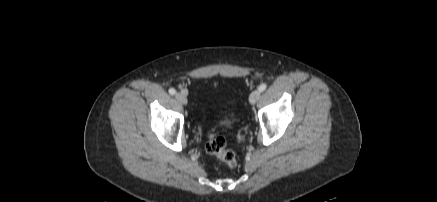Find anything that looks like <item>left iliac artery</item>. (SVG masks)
Segmentation results:
<instances>
[{
  "label": "left iliac artery",
  "mask_w": 437,
  "mask_h": 202,
  "mask_svg": "<svg viewBox=\"0 0 437 202\" xmlns=\"http://www.w3.org/2000/svg\"><path fill=\"white\" fill-rule=\"evenodd\" d=\"M266 88H267V85H266L265 83H263V84H261V85L259 86L258 90H259L260 92H263Z\"/></svg>",
  "instance_id": "obj_1"
}]
</instances>
